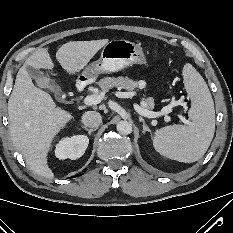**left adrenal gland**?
Listing matches in <instances>:
<instances>
[{
	"instance_id": "a2214340",
	"label": "left adrenal gland",
	"mask_w": 233,
	"mask_h": 233,
	"mask_svg": "<svg viewBox=\"0 0 233 233\" xmlns=\"http://www.w3.org/2000/svg\"><path fill=\"white\" fill-rule=\"evenodd\" d=\"M139 121L143 123V133H145L146 131L151 133V130L149 129V127L147 126V124L145 123V121L142 117H139Z\"/></svg>"
}]
</instances>
